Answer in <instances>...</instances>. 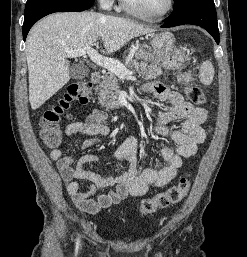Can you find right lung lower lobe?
I'll return each mask as SVG.
<instances>
[{
    "mask_svg": "<svg viewBox=\"0 0 247 257\" xmlns=\"http://www.w3.org/2000/svg\"><path fill=\"white\" fill-rule=\"evenodd\" d=\"M94 0H27L24 12L23 39L42 17L54 12H79L89 9Z\"/></svg>",
    "mask_w": 247,
    "mask_h": 257,
    "instance_id": "98d812e1",
    "label": "right lung lower lobe"
}]
</instances>
